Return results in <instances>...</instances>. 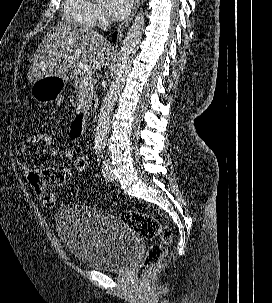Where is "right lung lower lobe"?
<instances>
[{
    "label": "right lung lower lobe",
    "mask_w": 272,
    "mask_h": 303,
    "mask_svg": "<svg viewBox=\"0 0 272 303\" xmlns=\"http://www.w3.org/2000/svg\"><path fill=\"white\" fill-rule=\"evenodd\" d=\"M115 39H116V33L113 35L112 41L115 42Z\"/></svg>",
    "instance_id": "1"
}]
</instances>
